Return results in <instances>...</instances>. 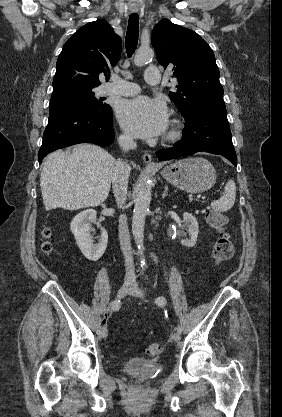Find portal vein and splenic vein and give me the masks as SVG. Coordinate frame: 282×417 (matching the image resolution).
I'll list each match as a JSON object with an SVG mask.
<instances>
[{
  "mask_svg": "<svg viewBox=\"0 0 282 417\" xmlns=\"http://www.w3.org/2000/svg\"><path fill=\"white\" fill-rule=\"evenodd\" d=\"M196 198L197 199H200V200H204V201H209V200H211V197H209V195L208 194H200V193H197V195H196Z\"/></svg>",
  "mask_w": 282,
  "mask_h": 417,
  "instance_id": "obj_1",
  "label": "portal vein and splenic vein"
}]
</instances>
